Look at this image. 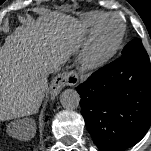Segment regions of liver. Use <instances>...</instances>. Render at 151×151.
Listing matches in <instances>:
<instances>
[{
    "mask_svg": "<svg viewBox=\"0 0 151 151\" xmlns=\"http://www.w3.org/2000/svg\"><path fill=\"white\" fill-rule=\"evenodd\" d=\"M81 24L54 13L32 26H20L0 47V121L38 110L54 63L63 64L82 41ZM35 124L26 135L34 137Z\"/></svg>",
    "mask_w": 151,
    "mask_h": 151,
    "instance_id": "obj_1",
    "label": "liver"
}]
</instances>
